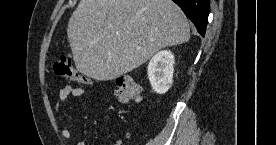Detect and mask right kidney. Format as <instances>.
<instances>
[{"instance_id":"right-kidney-1","label":"right kidney","mask_w":276,"mask_h":145,"mask_svg":"<svg viewBox=\"0 0 276 145\" xmlns=\"http://www.w3.org/2000/svg\"><path fill=\"white\" fill-rule=\"evenodd\" d=\"M174 55L162 50L152 57L148 64V77L152 89L158 94L166 93L173 83Z\"/></svg>"}]
</instances>
